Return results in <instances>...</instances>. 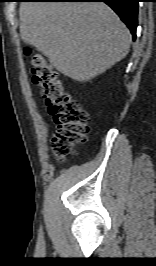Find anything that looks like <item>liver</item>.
<instances>
[{
	"label": "liver",
	"instance_id": "liver-1",
	"mask_svg": "<svg viewBox=\"0 0 156 266\" xmlns=\"http://www.w3.org/2000/svg\"><path fill=\"white\" fill-rule=\"evenodd\" d=\"M19 18L22 40L80 82L125 58L132 41L126 25L101 2H23Z\"/></svg>",
	"mask_w": 156,
	"mask_h": 266
}]
</instances>
